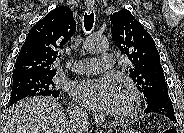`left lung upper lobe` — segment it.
I'll list each match as a JSON object with an SVG mask.
<instances>
[{
	"label": "left lung upper lobe",
	"instance_id": "obj_1",
	"mask_svg": "<svg viewBox=\"0 0 184 133\" xmlns=\"http://www.w3.org/2000/svg\"><path fill=\"white\" fill-rule=\"evenodd\" d=\"M112 38L121 54L127 55V72L144 94L147 104L161 97H169L160 55L151 35L127 9L110 16Z\"/></svg>",
	"mask_w": 184,
	"mask_h": 133
}]
</instances>
